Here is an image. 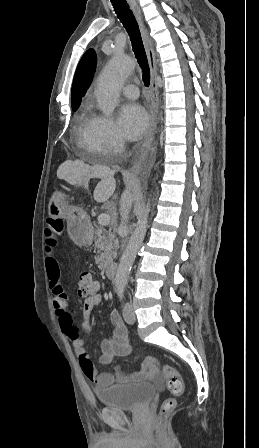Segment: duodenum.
I'll use <instances>...</instances> for the list:
<instances>
[{"label":"duodenum","instance_id":"1","mask_svg":"<svg viewBox=\"0 0 259 448\" xmlns=\"http://www.w3.org/2000/svg\"><path fill=\"white\" fill-rule=\"evenodd\" d=\"M117 264L112 263L105 267V274L109 279H114L117 273Z\"/></svg>","mask_w":259,"mask_h":448}]
</instances>
